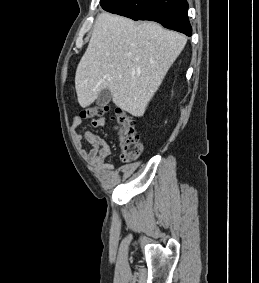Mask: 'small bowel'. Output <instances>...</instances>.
<instances>
[{"label": "small bowel", "instance_id": "c3829d8e", "mask_svg": "<svg viewBox=\"0 0 259 283\" xmlns=\"http://www.w3.org/2000/svg\"><path fill=\"white\" fill-rule=\"evenodd\" d=\"M106 122L105 118H99L92 120V125L95 127L103 126ZM82 124V118L80 116H75L72 121V127L77 129ZM79 139L80 136L76 134ZM84 139L89 144L90 149L86 152L87 160L94 166L99 167L105 172H112L113 166L106 161L107 157L110 155V145L101 136L91 132L86 131L84 133ZM124 171H121L122 174Z\"/></svg>", "mask_w": 259, "mask_h": 283}]
</instances>
